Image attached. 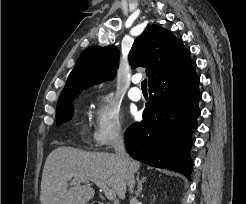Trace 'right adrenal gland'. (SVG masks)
Returning a JSON list of instances; mask_svg holds the SVG:
<instances>
[{
  "mask_svg": "<svg viewBox=\"0 0 246 204\" xmlns=\"http://www.w3.org/2000/svg\"><path fill=\"white\" fill-rule=\"evenodd\" d=\"M136 181H137V190L135 192V195H136V197H143V195L141 194V192H142V185L146 181V177H142L140 179V173L138 172L137 173V176H136Z\"/></svg>",
  "mask_w": 246,
  "mask_h": 204,
  "instance_id": "obj_1",
  "label": "right adrenal gland"
}]
</instances>
